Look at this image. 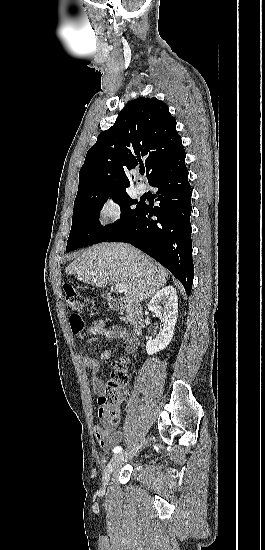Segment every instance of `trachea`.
<instances>
[{
    "label": "trachea",
    "instance_id": "3493384b",
    "mask_svg": "<svg viewBox=\"0 0 265 550\" xmlns=\"http://www.w3.org/2000/svg\"><path fill=\"white\" fill-rule=\"evenodd\" d=\"M144 172H145V169H140L141 174H144Z\"/></svg>",
    "mask_w": 265,
    "mask_h": 550
}]
</instances>
